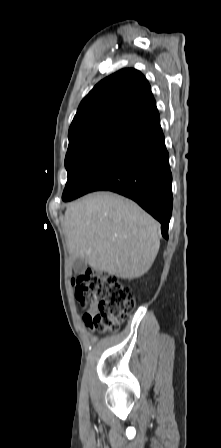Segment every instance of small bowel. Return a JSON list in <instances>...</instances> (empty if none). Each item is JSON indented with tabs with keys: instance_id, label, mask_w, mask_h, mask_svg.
I'll use <instances>...</instances> for the list:
<instances>
[{
	"instance_id": "obj_1",
	"label": "small bowel",
	"mask_w": 221,
	"mask_h": 448,
	"mask_svg": "<svg viewBox=\"0 0 221 448\" xmlns=\"http://www.w3.org/2000/svg\"><path fill=\"white\" fill-rule=\"evenodd\" d=\"M88 311H89V312H93V311H95V307H91Z\"/></svg>"
}]
</instances>
